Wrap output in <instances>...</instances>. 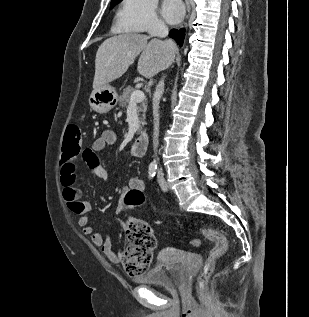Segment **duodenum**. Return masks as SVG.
<instances>
[{
  "instance_id": "410a0bca",
  "label": "duodenum",
  "mask_w": 309,
  "mask_h": 317,
  "mask_svg": "<svg viewBox=\"0 0 309 317\" xmlns=\"http://www.w3.org/2000/svg\"><path fill=\"white\" fill-rule=\"evenodd\" d=\"M148 136L146 132L142 131L134 140L130 148V153L132 156L142 157L147 149Z\"/></svg>"
}]
</instances>
